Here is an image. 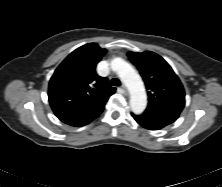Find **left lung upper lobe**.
Masks as SVG:
<instances>
[{"mask_svg": "<svg viewBox=\"0 0 222 187\" xmlns=\"http://www.w3.org/2000/svg\"><path fill=\"white\" fill-rule=\"evenodd\" d=\"M138 68L148 90V107L182 111L185 92L182 83L170 65L158 54L145 51L128 53Z\"/></svg>", "mask_w": 222, "mask_h": 187, "instance_id": "obj_1", "label": "left lung upper lobe"}]
</instances>
